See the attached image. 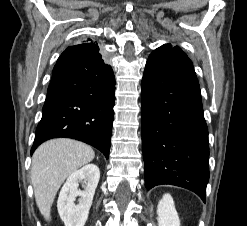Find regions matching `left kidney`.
<instances>
[{"label":"left kidney","mask_w":247,"mask_h":226,"mask_svg":"<svg viewBox=\"0 0 247 226\" xmlns=\"http://www.w3.org/2000/svg\"><path fill=\"white\" fill-rule=\"evenodd\" d=\"M158 226H180L174 201L169 193L163 195L157 206Z\"/></svg>","instance_id":"left-kidney-1"}]
</instances>
